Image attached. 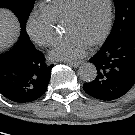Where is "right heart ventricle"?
<instances>
[{"label": "right heart ventricle", "instance_id": "e07e8e85", "mask_svg": "<svg viewBox=\"0 0 135 135\" xmlns=\"http://www.w3.org/2000/svg\"><path fill=\"white\" fill-rule=\"evenodd\" d=\"M77 0H46L43 11L47 13L54 23L62 24L71 12Z\"/></svg>", "mask_w": 135, "mask_h": 135}]
</instances>
